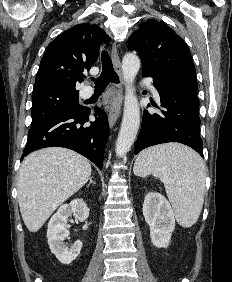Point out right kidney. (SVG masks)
<instances>
[{
  "label": "right kidney",
  "instance_id": "right-kidney-1",
  "mask_svg": "<svg viewBox=\"0 0 232 282\" xmlns=\"http://www.w3.org/2000/svg\"><path fill=\"white\" fill-rule=\"evenodd\" d=\"M89 208L82 199H74L69 204H63L51 217L48 223L47 238L51 252L63 264H70L79 255L83 243L80 240L67 247L64 239L69 232L66 228L67 219L72 215L79 221H85L89 216Z\"/></svg>",
  "mask_w": 232,
  "mask_h": 282
}]
</instances>
